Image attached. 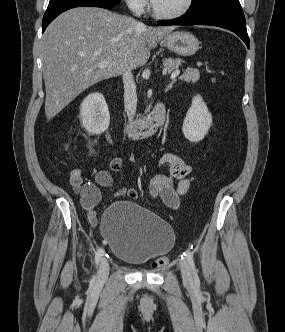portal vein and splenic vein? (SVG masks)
I'll return each mask as SVG.
<instances>
[{
	"instance_id": "portal-vein-and-splenic-vein-1",
	"label": "portal vein and splenic vein",
	"mask_w": 285,
	"mask_h": 332,
	"mask_svg": "<svg viewBox=\"0 0 285 332\" xmlns=\"http://www.w3.org/2000/svg\"><path fill=\"white\" fill-rule=\"evenodd\" d=\"M108 64H109V62L103 61V62L99 63L98 67L103 68V67L108 66ZM179 74H180V70L177 69L171 74V78H176Z\"/></svg>"
}]
</instances>
